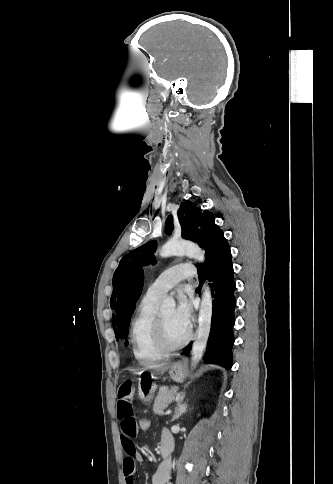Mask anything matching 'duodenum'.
<instances>
[{
	"instance_id": "duodenum-1",
	"label": "duodenum",
	"mask_w": 333,
	"mask_h": 484,
	"mask_svg": "<svg viewBox=\"0 0 333 484\" xmlns=\"http://www.w3.org/2000/svg\"><path fill=\"white\" fill-rule=\"evenodd\" d=\"M173 451V444L170 442H161L159 446V452L162 458V464L169 466L171 464Z\"/></svg>"
}]
</instances>
